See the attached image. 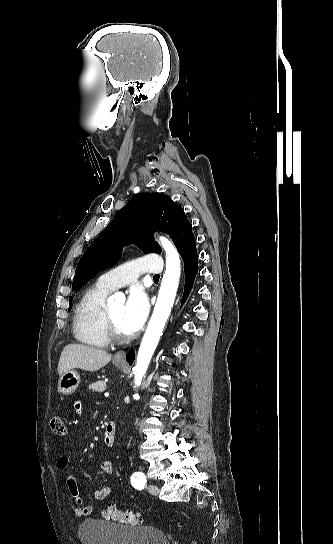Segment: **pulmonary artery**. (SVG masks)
Instances as JSON below:
<instances>
[{
    "mask_svg": "<svg viewBox=\"0 0 333 544\" xmlns=\"http://www.w3.org/2000/svg\"><path fill=\"white\" fill-rule=\"evenodd\" d=\"M163 270V262L160 256L147 255L130 260L115 267L98 279L104 287L115 290L136 280L143 273L159 274Z\"/></svg>",
    "mask_w": 333,
    "mask_h": 544,
    "instance_id": "e3ab8cb5",
    "label": "pulmonary artery"
}]
</instances>
